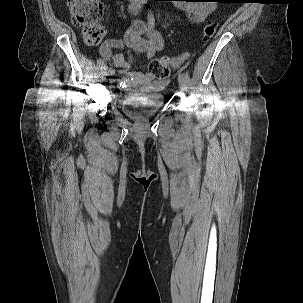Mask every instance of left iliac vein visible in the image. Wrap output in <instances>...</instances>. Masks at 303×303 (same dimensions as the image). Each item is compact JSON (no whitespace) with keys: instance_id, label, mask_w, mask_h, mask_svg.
<instances>
[{"instance_id":"1","label":"left iliac vein","mask_w":303,"mask_h":303,"mask_svg":"<svg viewBox=\"0 0 303 303\" xmlns=\"http://www.w3.org/2000/svg\"><path fill=\"white\" fill-rule=\"evenodd\" d=\"M178 84L181 90H185L187 86L186 77L184 74H180L178 78Z\"/></svg>"}]
</instances>
